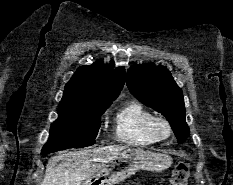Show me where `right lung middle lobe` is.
<instances>
[{
	"label": "right lung middle lobe",
	"instance_id": "dd1d6c3e",
	"mask_svg": "<svg viewBox=\"0 0 233 185\" xmlns=\"http://www.w3.org/2000/svg\"><path fill=\"white\" fill-rule=\"evenodd\" d=\"M111 103L78 104L61 101L59 118L51 125L49 140L41 154L93 145L101 125V115Z\"/></svg>",
	"mask_w": 233,
	"mask_h": 185
}]
</instances>
